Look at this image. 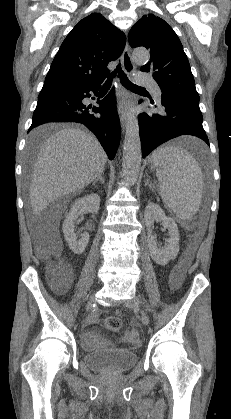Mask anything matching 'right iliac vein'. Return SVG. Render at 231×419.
<instances>
[{"label": "right iliac vein", "instance_id": "obj_1", "mask_svg": "<svg viewBox=\"0 0 231 419\" xmlns=\"http://www.w3.org/2000/svg\"><path fill=\"white\" fill-rule=\"evenodd\" d=\"M94 302H95V296L92 295V296H90V298L88 299L87 304H86V310L87 311L93 306Z\"/></svg>", "mask_w": 231, "mask_h": 419}]
</instances>
